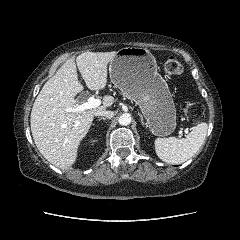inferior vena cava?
I'll return each mask as SVG.
<instances>
[{
	"mask_svg": "<svg viewBox=\"0 0 240 240\" xmlns=\"http://www.w3.org/2000/svg\"><path fill=\"white\" fill-rule=\"evenodd\" d=\"M95 116H105V117L111 119L114 116V112L113 111H109V110H101V111H97L95 113Z\"/></svg>",
	"mask_w": 240,
	"mask_h": 240,
	"instance_id": "obj_1",
	"label": "inferior vena cava"
}]
</instances>
